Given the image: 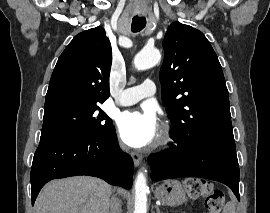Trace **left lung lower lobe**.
Masks as SVG:
<instances>
[{"label": "left lung lower lobe", "instance_id": "1", "mask_svg": "<svg viewBox=\"0 0 270 213\" xmlns=\"http://www.w3.org/2000/svg\"><path fill=\"white\" fill-rule=\"evenodd\" d=\"M171 150L149 156L152 180L202 177L226 184L239 195V165L233 136L192 134L183 139L172 135Z\"/></svg>", "mask_w": 270, "mask_h": 213}]
</instances>
